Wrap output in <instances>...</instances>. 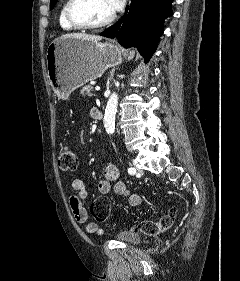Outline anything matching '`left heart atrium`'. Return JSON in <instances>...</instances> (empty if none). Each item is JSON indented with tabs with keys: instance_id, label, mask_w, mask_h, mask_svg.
<instances>
[{
	"instance_id": "obj_1",
	"label": "left heart atrium",
	"mask_w": 240,
	"mask_h": 281,
	"mask_svg": "<svg viewBox=\"0 0 240 281\" xmlns=\"http://www.w3.org/2000/svg\"><path fill=\"white\" fill-rule=\"evenodd\" d=\"M124 2L125 0H108V3L113 12L121 9L124 5Z\"/></svg>"
}]
</instances>
